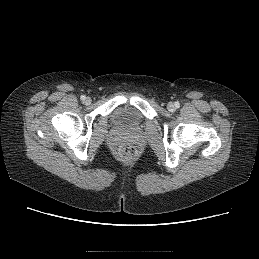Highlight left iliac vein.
Returning a JSON list of instances; mask_svg holds the SVG:
<instances>
[{"mask_svg": "<svg viewBox=\"0 0 259 259\" xmlns=\"http://www.w3.org/2000/svg\"><path fill=\"white\" fill-rule=\"evenodd\" d=\"M167 109H168L169 111H174V110H175L174 104H173V103H169V104L167 105Z\"/></svg>", "mask_w": 259, "mask_h": 259, "instance_id": "left-iliac-vein-1", "label": "left iliac vein"}]
</instances>
